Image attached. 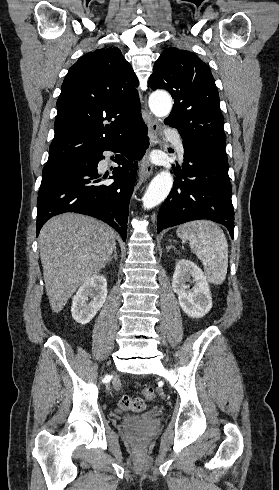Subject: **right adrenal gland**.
I'll return each mask as SVG.
<instances>
[{
  "label": "right adrenal gland",
  "mask_w": 279,
  "mask_h": 490,
  "mask_svg": "<svg viewBox=\"0 0 279 490\" xmlns=\"http://www.w3.org/2000/svg\"><path fill=\"white\" fill-rule=\"evenodd\" d=\"M113 258L117 262V260H118V254H117V248H116V246L114 248V254H113V256H111V258H109V260H108V264H110V262H112Z\"/></svg>",
  "instance_id": "right-adrenal-gland-1"
}]
</instances>
